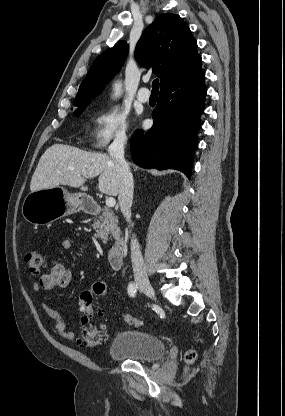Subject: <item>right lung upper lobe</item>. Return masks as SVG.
<instances>
[{"label": "right lung upper lobe", "instance_id": "right-lung-upper-lobe-1", "mask_svg": "<svg viewBox=\"0 0 285 416\" xmlns=\"http://www.w3.org/2000/svg\"><path fill=\"white\" fill-rule=\"evenodd\" d=\"M128 45L119 41L99 55L82 81L73 105L89 104L105 84L118 73L127 55ZM135 58L145 66H153L160 78L161 90L175 82L202 72L197 42L188 25L176 14H164L143 32L135 49Z\"/></svg>", "mask_w": 285, "mask_h": 416}]
</instances>
